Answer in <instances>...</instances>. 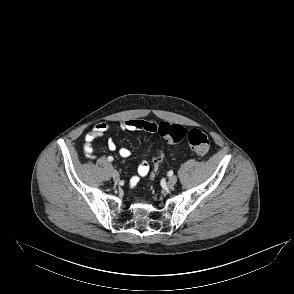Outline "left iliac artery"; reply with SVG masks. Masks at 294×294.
<instances>
[{
	"label": "left iliac artery",
	"instance_id": "44dca946",
	"mask_svg": "<svg viewBox=\"0 0 294 294\" xmlns=\"http://www.w3.org/2000/svg\"><path fill=\"white\" fill-rule=\"evenodd\" d=\"M172 176H174L173 169H168V171H167V178H172Z\"/></svg>",
	"mask_w": 294,
	"mask_h": 294
}]
</instances>
